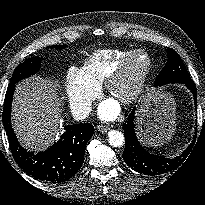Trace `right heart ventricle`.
Wrapping results in <instances>:
<instances>
[{
	"instance_id": "obj_1",
	"label": "right heart ventricle",
	"mask_w": 205,
	"mask_h": 205,
	"mask_svg": "<svg viewBox=\"0 0 205 205\" xmlns=\"http://www.w3.org/2000/svg\"><path fill=\"white\" fill-rule=\"evenodd\" d=\"M132 49H101L92 53L80 68L84 78L100 86Z\"/></svg>"
}]
</instances>
